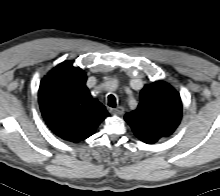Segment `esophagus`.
I'll return each instance as SVG.
<instances>
[{
  "label": "esophagus",
  "instance_id": "34e87169",
  "mask_svg": "<svg viewBox=\"0 0 220 196\" xmlns=\"http://www.w3.org/2000/svg\"><path fill=\"white\" fill-rule=\"evenodd\" d=\"M110 113L114 115H122L124 113V108L122 106L112 108L110 109Z\"/></svg>",
  "mask_w": 220,
  "mask_h": 196
}]
</instances>
